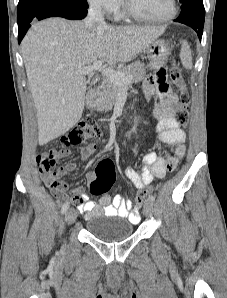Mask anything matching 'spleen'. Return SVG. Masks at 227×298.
<instances>
[{"label": "spleen", "instance_id": "3e777b00", "mask_svg": "<svg viewBox=\"0 0 227 298\" xmlns=\"http://www.w3.org/2000/svg\"><path fill=\"white\" fill-rule=\"evenodd\" d=\"M180 59L182 62L183 67L186 69H192L193 63H192V55L190 46L188 45L187 41H183L180 51Z\"/></svg>", "mask_w": 227, "mask_h": 298}]
</instances>
